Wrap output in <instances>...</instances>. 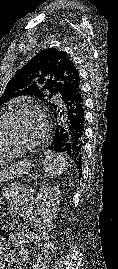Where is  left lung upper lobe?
<instances>
[{
	"label": "left lung upper lobe",
	"instance_id": "1",
	"mask_svg": "<svg viewBox=\"0 0 118 269\" xmlns=\"http://www.w3.org/2000/svg\"><path fill=\"white\" fill-rule=\"evenodd\" d=\"M79 89V73L68 55L48 48L34 56L8 82L0 106L13 97L32 95L42 99L52 111L56 106L53 96L63 98Z\"/></svg>",
	"mask_w": 118,
	"mask_h": 269
}]
</instances>
